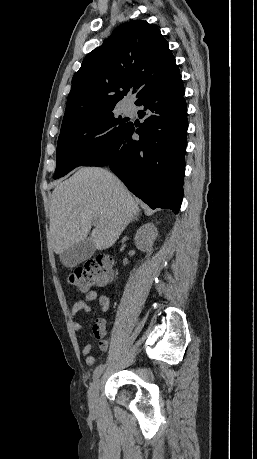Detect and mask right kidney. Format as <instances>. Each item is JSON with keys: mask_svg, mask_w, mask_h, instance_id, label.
<instances>
[{"mask_svg": "<svg viewBox=\"0 0 257 459\" xmlns=\"http://www.w3.org/2000/svg\"><path fill=\"white\" fill-rule=\"evenodd\" d=\"M158 236L157 228L152 223H147L141 226L135 235V244L142 251L151 254L153 250L154 240Z\"/></svg>", "mask_w": 257, "mask_h": 459, "instance_id": "1", "label": "right kidney"}]
</instances>
